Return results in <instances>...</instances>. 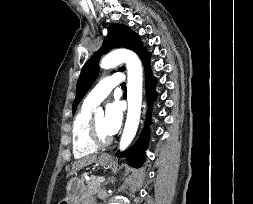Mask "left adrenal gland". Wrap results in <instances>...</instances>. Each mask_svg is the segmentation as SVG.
<instances>
[{"label": "left adrenal gland", "instance_id": "a2214340", "mask_svg": "<svg viewBox=\"0 0 253 204\" xmlns=\"http://www.w3.org/2000/svg\"><path fill=\"white\" fill-rule=\"evenodd\" d=\"M109 182L113 183L114 180H110V178H109L108 181L106 182V184H108Z\"/></svg>", "mask_w": 253, "mask_h": 204}]
</instances>
